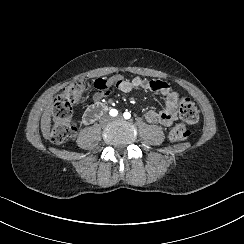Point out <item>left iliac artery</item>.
Wrapping results in <instances>:
<instances>
[{"instance_id": "1", "label": "left iliac artery", "mask_w": 244, "mask_h": 244, "mask_svg": "<svg viewBox=\"0 0 244 244\" xmlns=\"http://www.w3.org/2000/svg\"><path fill=\"white\" fill-rule=\"evenodd\" d=\"M123 117H124L125 119H130L131 114H130L129 112H124Z\"/></svg>"}]
</instances>
